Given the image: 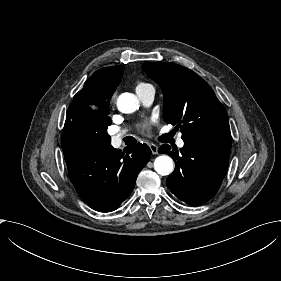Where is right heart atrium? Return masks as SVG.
<instances>
[{
	"label": "right heart atrium",
	"instance_id": "obj_1",
	"mask_svg": "<svg viewBox=\"0 0 281 281\" xmlns=\"http://www.w3.org/2000/svg\"><path fill=\"white\" fill-rule=\"evenodd\" d=\"M119 99V98H118ZM117 100V96L114 94V95H112V97H111V101L112 102H114V101H116ZM117 103H118V100H117Z\"/></svg>",
	"mask_w": 281,
	"mask_h": 281
}]
</instances>
